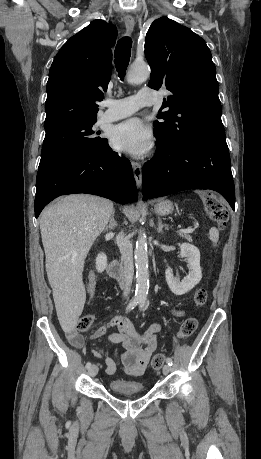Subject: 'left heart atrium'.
Masks as SVG:
<instances>
[{
	"instance_id": "1",
	"label": "left heart atrium",
	"mask_w": 261,
	"mask_h": 459,
	"mask_svg": "<svg viewBox=\"0 0 261 459\" xmlns=\"http://www.w3.org/2000/svg\"><path fill=\"white\" fill-rule=\"evenodd\" d=\"M111 143L120 152L141 156L150 148L152 134L140 119L131 118L114 127Z\"/></svg>"
}]
</instances>
